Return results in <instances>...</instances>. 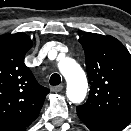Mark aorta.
Wrapping results in <instances>:
<instances>
[{
	"mask_svg": "<svg viewBox=\"0 0 131 131\" xmlns=\"http://www.w3.org/2000/svg\"><path fill=\"white\" fill-rule=\"evenodd\" d=\"M58 67L67 81L68 99L73 103L82 102L87 92V79L82 68L71 58L61 60Z\"/></svg>",
	"mask_w": 131,
	"mask_h": 131,
	"instance_id": "762f6f07",
	"label": "aorta"
}]
</instances>
